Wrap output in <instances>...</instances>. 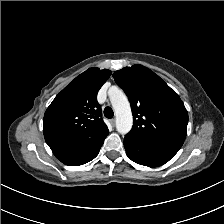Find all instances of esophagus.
<instances>
[{
  "instance_id": "esophagus-1",
  "label": "esophagus",
  "mask_w": 224,
  "mask_h": 224,
  "mask_svg": "<svg viewBox=\"0 0 224 224\" xmlns=\"http://www.w3.org/2000/svg\"><path fill=\"white\" fill-rule=\"evenodd\" d=\"M109 123H110V125H111L112 127H115V119H111V120L109 121Z\"/></svg>"
}]
</instances>
